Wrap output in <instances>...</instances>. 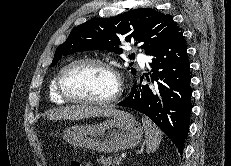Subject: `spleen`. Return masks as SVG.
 <instances>
[{"label": "spleen", "mask_w": 231, "mask_h": 166, "mask_svg": "<svg viewBox=\"0 0 231 166\" xmlns=\"http://www.w3.org/2000/svg\"><path fill=\"white\" fill-rule=\"evenodd\" d=\"M142 124L146 135V152L148 154L155 152L162 141L163 134L148 117L142 118Z\"/></svg>", "instance_id": "1"}]
</instances>
